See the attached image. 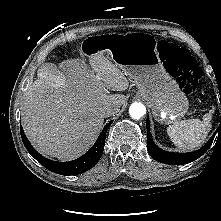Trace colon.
<instances>
[{"label":"colon","mask_w":221,"mask_h":221,"mask_svg":"<svg viewBox=\"0 0 221 221\" xmlns=\"http://www.w3.org/2000/svg\"><path fill=\"white\" fill-rule=\"evenodd\" d=\"M159 50L166 58V69L176 79L180 89L186 94L196 93L202 72L191 54L165 41L159 42Z\"/></svg>","instance_id":"obj_1"}]
</instances>
